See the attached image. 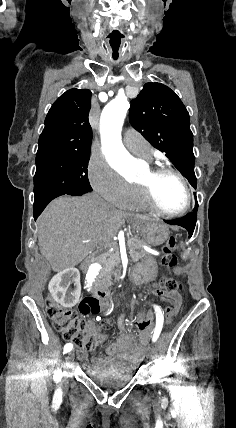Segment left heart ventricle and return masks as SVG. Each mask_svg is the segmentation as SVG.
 <instances>
[{
    "label": "left heart ventricle",
    "instance_id": "left-heart-ventricle-1",
    "mask_svg": "<svg viewBox=\"0 0 236 428\" xmlns=\"http://www.w3.org/2000/svg\"><path fill=\"white\" fill-rule=\"evenodd\" d=\"M148 177V171L138 178L127 180L131 183L144 181ZM154 190L159 203L166 210L174 211L183 207L186 201V191L179 179L172 175H163L154 184Z\"/></svg>",
    "mask_w": 236,
    "mask_h": 428
}]
</instances>
